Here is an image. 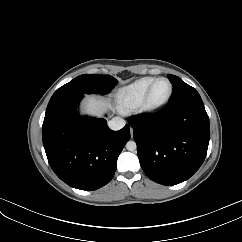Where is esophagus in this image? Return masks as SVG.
I'll list each match as a JSON object with an SVG mask.
<instances>
[{
	"label": "esophagus",
	"instance_id": "obj_1",
	"mask_svg": "<svg viewBox=\"0 0 242 242\" xmlns=\"http://www.w3.org/2000/svg\"><path fill=\"white\" fill-rule=\"evenodd\" d=\"M133 136V130L131 129V137Z\"/></svg>",
	"mask_w": 242,
	"mask_h": 242
}]
</instances>
